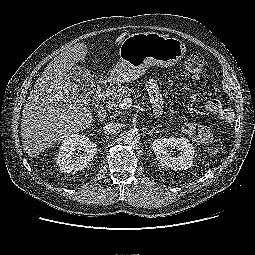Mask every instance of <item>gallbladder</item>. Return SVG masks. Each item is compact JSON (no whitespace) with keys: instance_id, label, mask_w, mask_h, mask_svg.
<instances>
[{"instance_id":"obj_1","label":"gallbladder","mask_w":255,"mask_h":255,"mask_svg":"<svg viewBox=\"0 0 255 255\" xmlns=\"http://www.w3.org/2000/svg\"><path fill=\"white\" fill-rule=\"evenodd\" d=\"M70 73L71 83L82 96L88 97L94 93L96 85L88 69L83 66H74Z\"/></svg>"}]
</instances>
